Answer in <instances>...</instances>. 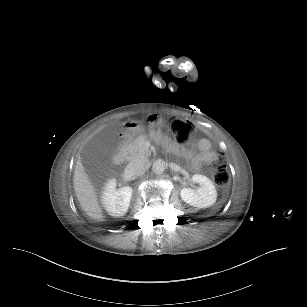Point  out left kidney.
Returning a JSON list of instances; mask_svg holds the SVG:
<instances>
[{"label":"left kidney","instance_id":"1","mask_svg":"<svg viewBox=\"0 0 307 307\" xmlns=\"http://www.w3.org/2000/svg\"><path fill=\"white\" fill-rule=\"evenodd\" d=\"M193 183H198L197 189L182 188L181 199L187 204L197 208H207L217 200V191L213 182L204 175L194 174L191 178Z\"/></svg>","mask_w":307,"mask_h":307}]
</instances>
